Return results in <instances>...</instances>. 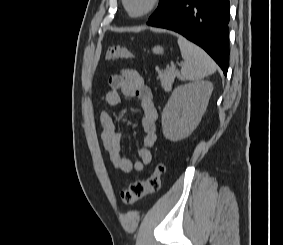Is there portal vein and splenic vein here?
Listing matches in <instances>:
<instances>
[{
	"label": "portal vein and splenic vein",
	"instance_id": "1",
	"mask_svg": "<svg viewBox=\"0 0 283 245\" xmlns=\"http://www.w3.org/2000/svg\"><path fill=\"white\" fill-rule=\"evenodd\" d=\"M171 69H172V70H175V69H176V66L174 65V63H171Z\"/></svg>",
	"mask_w": 283,
	"mask_h": 245
}]
</instances>
